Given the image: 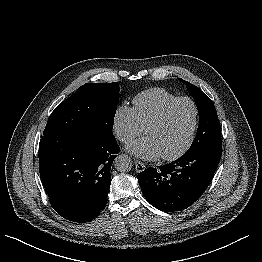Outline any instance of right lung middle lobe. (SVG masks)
<instances>
[{
    "instance_id": "right-lung-middle-lobe-1",
    "label": "right lung middle lobe",
    "mask_w": 262,
    "mask_h": 262,
    "mask_svg": "<svg viewBox=\"0 0 262 262\" xmlns=\"http://www.w3.org/2000/svg\"><path fill=\"white\" fill-rule=\"evenodd\" d=\"M119 97L117 82L82 85L54 109L43 136L58 133L113 135V122Z\"/></svg>"
}]
</instances>
